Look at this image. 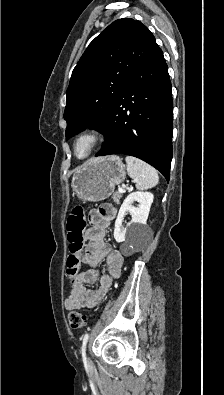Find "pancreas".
<instances>
[{"label": "pancreas", "instance_id": "cf45deb5", "mask_svg": "<svg viewBox=\"0 0 224 395\" xmlns=\"http://www.w3.org/2000/svg\"><path fill=\"white\" fill-rule=\"evenodd\" d=\"M121 197H122V195H121L119 192L114 193L113 196H112L113 200H114L117 204H119L120 198H121Z\"/></svg>", "mask_w": 224, "mask_h": 395}]
</instances>
